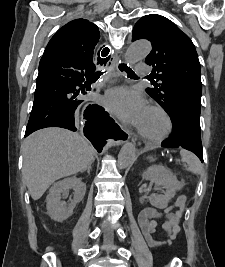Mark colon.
Listing matches in <instances>:
<instances>
[{"instance_id": "5ec220e1", "label": "colon", "mask_w": 225, "mask_h": 267, "mask_svg": "<svg viewBox=\"0 0 225 267\" xmlns=\"http://www.w3.org/2000/svg\"><path fill=\"white\" fill-rule=\"evenodd\" d=\"M186 203H187V198H183L181 199L180 203H179V206H180V209L183 211V209L185 208L186 206Z\"/></svg>"}]
</instances>
